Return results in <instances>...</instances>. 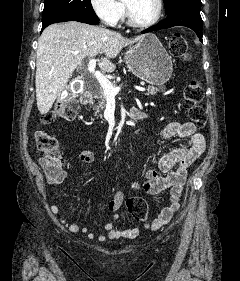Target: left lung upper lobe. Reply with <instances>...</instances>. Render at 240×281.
Returning a JSON list of instances; mask_svg holds the SVG:
<instances>
[{
    "label": "left lung upper lobe",
    "mask_w": 240,
    "mask_h": 281,
    "mask_svg": "<svg viewBox=\"0 0 240 281\" xmlns=\"http://www.w3.org/2000/svg\"><path fill=\"white\" fill-rule=\"evenodd\" d=\"M164 5H165V12L168 15L174 10L186 5L201 7V1L200 0H164Z\"/></svg>",
    "instance_id": "1"
}]
</instances>
